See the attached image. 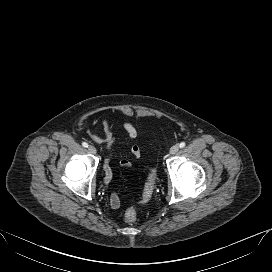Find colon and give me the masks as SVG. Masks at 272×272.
Here are the masks:
<instances>
[{
  "label": "colon",
  "instance_id": "obj_1",
  "mask_svg": "<svg viewBox=\"0 0 272 272\" xmlns=\"http://www.w3.org/2000/svg\"><path fill=\"white\" fill-rule=\"evenodd\" d=\"M157 174L155 170H152L147 178V181L144 185L142 201L147 202L153 193L155 183H156ZM138 213L137 209L134 206L129 207L124 213V220L127 223H134L137 220Z\"/></svg>",
  "mask_w": 272,
  "mask_h": 272
}]
</instances>
